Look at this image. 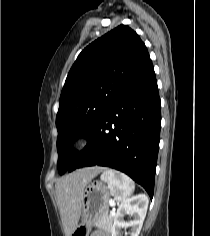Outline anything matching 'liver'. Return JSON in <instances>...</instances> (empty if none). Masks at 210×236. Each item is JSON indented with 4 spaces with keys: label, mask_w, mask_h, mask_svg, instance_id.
<instances>
[{
    "label": "liver",
    "mask_w": 210,
    "mask_h": 236,
    "mask_svg": "<svg viewBox=\"0 0 210 236\" xmlns=\"http://www.w3.org/2000/svg\"><path fill=\"white\" fill-rule=\"evenodd\" d=\"M103 170L105 168L98 166L79 169L56 182V197L65 236H71L78 225L86 186Z\"/></svg>",
    "instance_id": "obj_1"
}]
</instances>
